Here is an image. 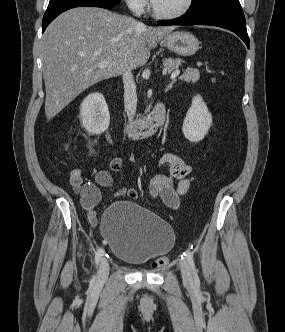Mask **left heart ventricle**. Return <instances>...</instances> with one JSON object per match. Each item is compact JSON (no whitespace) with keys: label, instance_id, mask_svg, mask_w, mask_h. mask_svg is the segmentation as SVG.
<instances>
[{"label":"left heart ventricle","instance_id":"left-heart-ventricle-1","mask_svg":"<svg viewBox=\"0 0 285 332\" xmlns=\"http://www.w3.org/2000/svg\"><path fill=\"white\" fill-rule=\"evenodd\" d=\"M186 0H157L154 6L161 13H174L180 10Z\"/></svg>","mask_w":285,"mask_h":332}]
</instances>
